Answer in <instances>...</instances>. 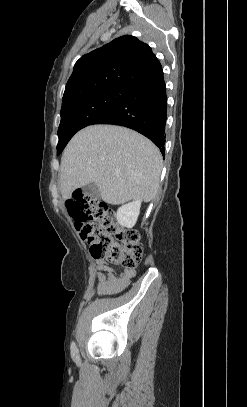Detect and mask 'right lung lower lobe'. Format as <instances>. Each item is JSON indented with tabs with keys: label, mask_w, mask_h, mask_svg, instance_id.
Returning <instances> with one entry per match:
<instances>
[{
	"label": "right lung lower lobe",
	"mask_w": 247,
	"mask_h": 407,
	"mask_svg": "<svg viewBox=\"0 0 247 407\" xmlns=\"http://www.w3.org/2000/svg\"><path fill=\"white\" fill-rule=\"evenodd\" d=\"M166 118L167 95L161 72L153 80L137 87L93 124H115L136 130L159 147L164 156Z\"/></svg>",
	"instance_id": "1"
}]
</instances>
